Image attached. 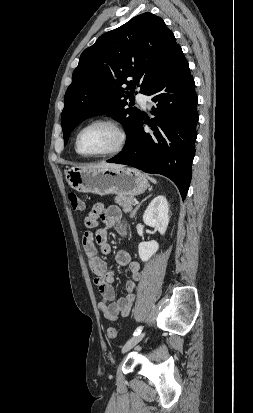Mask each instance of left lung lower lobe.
Wrapping results in <instances>:
<instances>
[{"instance_id": "1", "label": "left lung lower lobe", "mask_w": 253, "mask_h": 413, "mask_svg": "<svg viewBox=\"0 0 253 413\" xmlns=\"http://www.w3.org/2000/svg\"><path fill=\"white\" fill-rule=\"evenodd\" d=\"M146 95L151 96L154 102L151 108L154 118L147 123L153 133L144 131L141 117L132 142L107 162L164 175L177 185L181 197L185 199L195 154L198 99L181 47Z\"/></svg>"}]
</instances>
